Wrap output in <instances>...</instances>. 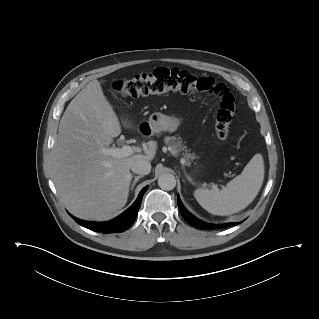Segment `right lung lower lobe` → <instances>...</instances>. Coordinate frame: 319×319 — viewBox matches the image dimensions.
<instances>
[{"mask_svg":"<svg viewBox=\"0 0 319 319\" xmlns=\"http://www.w3.org/2000/svg\"><path fill=\"white\" fill-rule=\"evenodd\" d=\"M147 187H144L137 200L133 203L131 207H129L125 212H123L120 216L116 217L115 219L104 222V223H93V222H86L80 219H77L70 215L78 224L83 227H86L90 230L101 232V233H114V232H123L127 230L131 224L134 222L138 210L141 205L142 196L144 195Z\"/></svg>","mask_w":319,"mask_h":319,"instance_id":"obj_1","label":"right lung lower lobe"}]
</instances>
